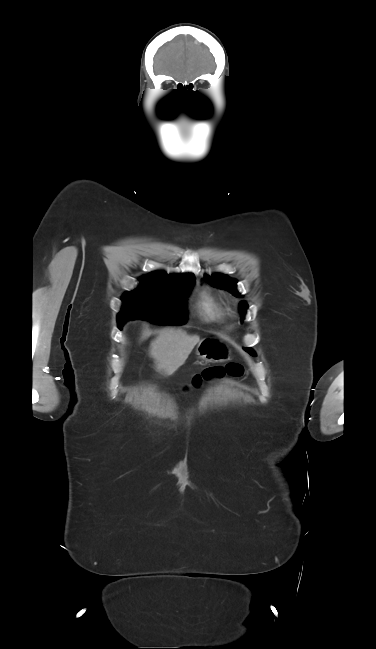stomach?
Wrapping results in <instances>:
<instances>
[{"mask_svg":"<svg viewBox=\"0 0 376 649\" xmlns=\"http://www.w3.org/2000/svg\"><path fill=\"white\" fill-rule=\"evenodd\" d=\"M198 357L206 362L224 363L231 359V350L219 338H204L196 348Z\"/></svg>","mask_w":376,"mask_h":649,"instance_id":"obj_1","label":"stomach"}]
</instances>
